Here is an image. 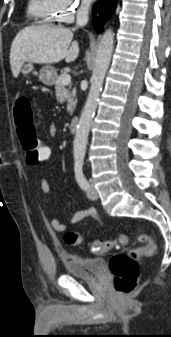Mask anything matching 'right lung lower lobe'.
<instances>
[{
	"mask_svg": "<svg viewBox=\"0 0 171 337\" xmlns=\"http://www.w3.org/2000/svg\"><path fill=\"white\" fill-rule=\"evenodd\" d=\"M116 5L117 0H98L94 4L92 24L97 32L101 33L103 31V26L111 17Z\"/></svg>",
	"mask_w": 171,
	"mask_h": 337,
	"instance_id": "right-lung-lower-lobe-1",
	"label": "right lung lower lobe"
}]
</instances>
